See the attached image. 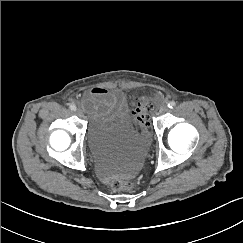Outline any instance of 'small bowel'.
Listing matches in <instances>:
<instances>
[{"label":"small bowel","mask_w":243,"mask_h":243,"mask_svg":"<svg viewBox=\"0 0 243 243\" xmlns=\"http://www.w3.org/2000/svg\"><path fill=\"white\" fill-rule=\"evenodd\" d=\"M83 108L91 114H106L127 110L126 98L120 89L94 87L82 98Z\"/></svg>","instance_id":"small-bowel-1"}]
</instances>
